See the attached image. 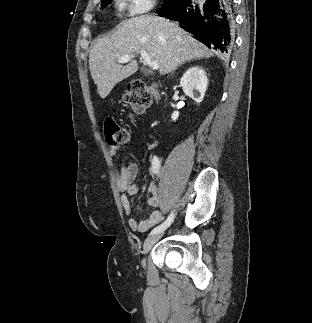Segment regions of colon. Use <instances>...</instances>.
<instances>
[{"label":"colon","mask_w":312,"mask_h":323,"mask_svg":"<svg viewBox=\"0 0 312 323\" xmlns=\"http://www.w3.org/2000/svg\"><path fill=\"white\" fill-rule=\"evenodd\" d=\"M154 94L149 85L141 79H132L128 91L122 96V103L129 112H139L153 101ZM104 138L110 146H122L127 142L129 132L119 122L108 118L104 121Z\"/></svg>","instance_id":"5ec220e1"}]
</instances>
